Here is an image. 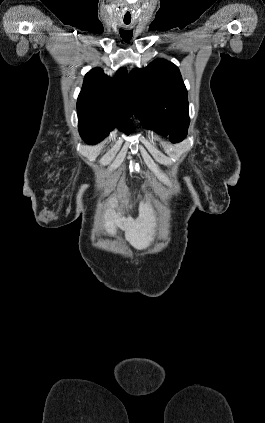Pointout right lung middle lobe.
I'll use <instances>...</instances> for the list:
<instances>
[{
	"label": "right lung middle lobe",
	"mask_w": 265,
	"mask_h": 423,
	"mask_svg": "<svg viewBox=\"0 0 265 423\" xmlns=\"http://www.w3.org/2000/svg\"><path fill=\"white\" fill-rule=\"evenodd\" d=\"M78 118L80 136L90 145L100 142L115 127L119 128V130H123L126 134L131 133L133 127L131 120H127L122 124H112L81 115H78Z\"/></svg>",
	"instance_id": "right-lung-middle-lobe-1"
}]
</instances>
